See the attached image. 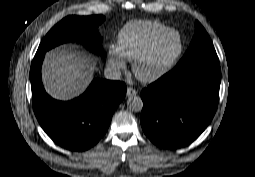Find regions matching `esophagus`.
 Segmentation results:
<instances>
[{
  "label": "esophagus",
  "mask_w": 255,
  "mask_h": 177,
  "mask_svg": "<svg viewBox=\"0 0 255 177\" xmlns=\"http://www.w3.org/2000/svg\"><path fill=\"white\" fill-rule=\"evenodd\" d=\"M136 94H137V91L135 89L128 87L127 93H126L127 97H133Z\"/></svg>",
  "instance_id": "obj_1"
}]
</instances>
